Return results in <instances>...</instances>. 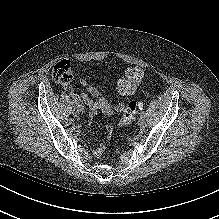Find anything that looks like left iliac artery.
<instances>
[{"mask_svg": "<svg viewBox=\"0 0 219 219\" xmlns=\"http://www.w3.org/2000/svg\"><path fill=\"white\" fill-rule=\"evenodd\" d=\"M140 114H145V112H144V111H142Z\"/></svg>", "mask_w": 219, "mask_h": 219, "instance_id": "left-iliac-artery-1", "label": "left iliac artery"}]
</instances>
